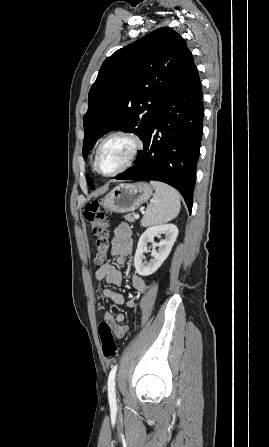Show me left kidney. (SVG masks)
<instances>
[{
	"instance_id": "left-kidney-1",
	"label": "left kidney",
	"mask_w": 269,
	"mask_h": 447,
	"mask_svg": "<svg viewBox=\"0 0 269 447\" xmlns=\"http://www.w3.org/2000/svg\"><path fill=\"white\" fill-rule=\"evenodd\" d=\"M160 233H164L165 239L159 241V243H155L154 237L155 235H160ZM178 235V227L174 224H165V225H153V227H148L142 235H140V239L138 241L134 263L135 269L139 275H151L154 273L160 265H162L164 259L168 257L172 245L174 241H176V237ZM148 241H152L154 247L159 245L158 251L156 249H152L151 255L153 259L147 263V261H143L145 251L147 249Z\"/></svg>"
}]
</instances>
